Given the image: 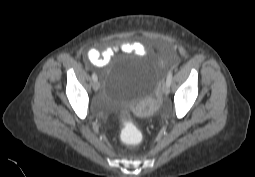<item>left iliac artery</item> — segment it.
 I'll return each mask as SVG.
<instances>
[{
    "label": "left iliac artery",
    "mask_w": 255,
    "mask_h": 177,
    "mask_svg": "<svg viewBox=\"0 0 255 177\" xmlns=\"http://www.w3.org/2000/svg\"><path fill=\"white\" fill-rule=\"evenodd\" d=\"M171 82H172V72L170 71L167 75L166 83L168 86H170Z\"/></svg>",
    "instance_id": "44dca946"
}]
</instances>
